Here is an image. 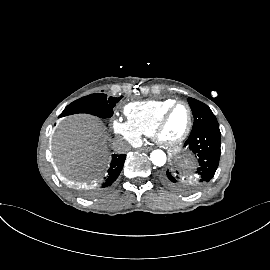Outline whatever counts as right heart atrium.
<instances>
[{"label":"right heart atrium","mask_w":270,"mask_h":270,"mask_svg":"<svg viewBox=\"0 0 270 270\" xmlns=\"http://www.w3.org/2000/svg\"><path fill=\"white\" fill-rule=\"evenodd\" d=\"M112 127L115 133L122 136L129 142H137L140 139V134L128 123L122 119H114Z\"/></svg>","instance_id":"1"}]
</instances>
